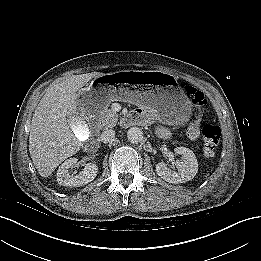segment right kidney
<instances>
[{
	"instance_id": "obj_1",
	"label": "right kidney",
	"mask_w": 261,
	"mask_h": 261,
	"mask_svg": "<svg viewBox=\"0 0 261 261\" xmlns=\"http://www.w3.org/2000/svg\"><path fill=\"white\" fill-rule=\"evenodd\" d=\"M75 119H71L74 121ZM78 120H76L77 122ZM81 124V122H80ZM86 126V125H85ZM79 127V126H78ZM83 137V135L80 134ZM84 138H86L84 136ZM77 158H69L59 166L57 171V181L60 185L69 187H80L93 181L97 176L98 167L94 163H87L84 169L78 174H71L70 170L77 163Z\"/></svg>"
}]
</instances>
